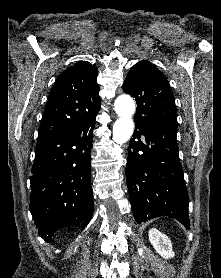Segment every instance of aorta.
I'll return each instance as SVG.
<instances>
[{"mask_svg": "<svg viewBox=\"0 0 221 278\" xmlns=\"http://www.w3.org/2000/svg\"><path fill=\"white\" fill-rule=\"evenodd\" d=\"M119 119L113 125V140L117 144L127 142L133 134L135 103L128 95L119 96L114 103Z\"/></svg>", "mask_w": 221, "mask_h": 278, "instance_id": "1", "label": "aorta"}]
</instances>
